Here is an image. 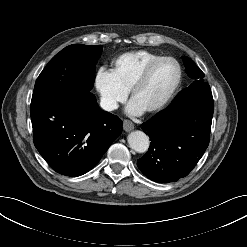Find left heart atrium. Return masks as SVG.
Here are the masks:
<instances>
[{
    "label": "left heart atrium",
    "instance_id": "39dd6f15",
    "mask_svg": "<svg viewBox=\"0 0 247 247\" xmlns=\"http://www.w3.org/2000/svg\"><path fill=\"white\" fill-rule=\"evenodd\" d=\"M145 109L141 107L135 100H131L127 106V112L133 116H139L143 114Z\"/></svg>",
    "mask_w": 247,
    "mask_h": 247
}]
</instances>
